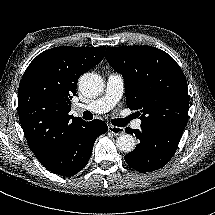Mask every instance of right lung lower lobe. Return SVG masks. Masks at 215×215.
I'll return each instance as SVG.
<instances>
[{
	"label": "right lung lower lobe",
	"instance_id": "98d812e1",
	"mask_svg": "<svg viewBox=\"0 0 215 215\" xmlns=\"http://www.w3.org/2000/svg\"><path fill=\"white\" fill-rule=\"evenodd\" d=\"M107 129V124L97 119L75 124L67 133L63 143L43 165L58 175H75L87 165L94 141L99 135L106 133Z\"/></svg>",
	"mask_w": 215,
	"mask_h": 215
}]
</instances>
